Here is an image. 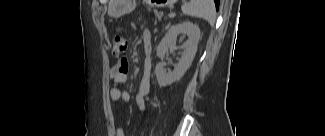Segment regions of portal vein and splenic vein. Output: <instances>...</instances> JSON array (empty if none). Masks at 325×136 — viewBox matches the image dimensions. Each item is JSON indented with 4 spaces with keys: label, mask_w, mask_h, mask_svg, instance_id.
Listing matches in <instances>:
<instances>
[{
    "label": "portal vein and splenic vein",
    "mask_w": 325,
    "mask_h": 136,
    "mask_svg": "<svg viewBox=\"0 0 325 136\" xmlns=\"http://www.w3.org/2000/svg\"><path fill=\"white\" fill-rule=\"evenodd\" d=\"M173 16H175V13L171 12V13L169 14V17H173Z\"/></svg>",
    "instance_id": "1"
}]
</instances>
